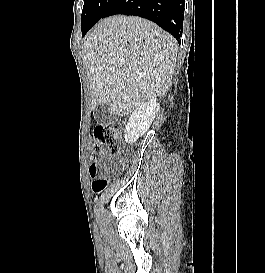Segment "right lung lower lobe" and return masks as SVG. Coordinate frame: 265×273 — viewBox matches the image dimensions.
Returning <instances> with one entry per match:
<instances>
[{
  "mask_svg": "<svg viewBox=\"0 0 265 273\" xmlns=\"http://www.w3.org/2000/svg\"><path fill=\"white\" fill-rule=\"evenodd\" d=\"M184 2L185 0H115L103 18L115 14L140 16L158 24L180 43Z\"/></svg>",
  "mask_w": 265,
  "mask_h": 273,
  "instance_id": "right-lung-lower-lobe-1",
  "label": "right lung lower lobe"
}]
</instances>
